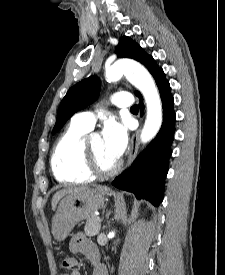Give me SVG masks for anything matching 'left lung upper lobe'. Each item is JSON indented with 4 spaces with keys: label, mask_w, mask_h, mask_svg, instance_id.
<instances>
[{
    "label": "left lung upper lobe",
    "mask_w": 225,
    "mask_h": 275,
    "mask_svg": "<svg viewBox=\"0 0 225 275\" xmlns=\"http://www.w3.org/2000/svg\"><path fill=\"white\" fill-rule=\"evenodd\" d=\"M116 53L118 57L139 61L149 70L153 77L161 70L154 59L129 37L120 38L116 47ZM99 88L100 83L96 76L84 79L70 88L59 106L57 121L52 134L54 135L58 132L73 113L93 103L98 96ZM139 94L138 91H135L136 96Z\"/></svg>",
    "instance_id": "5c2ea615"
}]
</instances>
